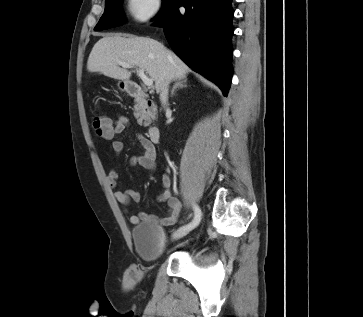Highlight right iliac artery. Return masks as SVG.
Segmentation results:
<instances>
[{"mask_svg": "<svg viewBox=\"0 0 363 317\" xmlns=\"http://www.w3.org/2000/svg\"><path fill=\"white\" fill-rule=\"evenodd\" d=\"M194 212H195V217L193 219V221L183 227H181L180 229H189V230H192L193 228H195L200 220H201V210L198 206L194 205Z\"/></svg>", "mask_w": 363, "mask_h": 317, "instance_id": "1", "label": "right iliac artery"}]
</instances>
